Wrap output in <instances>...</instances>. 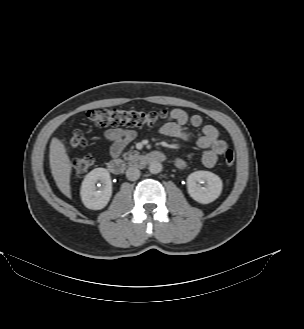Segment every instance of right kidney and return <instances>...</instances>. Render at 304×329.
Segmentation results:
<instances>
[{
	"instance_id": "ca27d5eb",
	"label": "right kidney",
	"mask_w": 304,
	"mask_h": 329,
	"mask_svg": "<svg viewBox=\"0 0 304 329\" xmlns=\"http://www.w3.org/2000/svg\"><path fill=\"white\" fill-rule=\"evenodd\" d=\"M96 185L101 186L100 189ZM112 195L110 174L105 168H95L84 178L80 196L83 204L92 210L104 208Z\"/></svg>"
}]
</instances>
